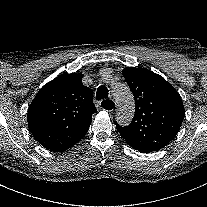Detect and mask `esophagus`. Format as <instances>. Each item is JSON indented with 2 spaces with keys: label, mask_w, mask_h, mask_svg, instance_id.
<instances>
[{
  "label": "esophagus",
  "mask_w": 207,
  "mask_h": 207,
  "mask_svg": "<svg viewBox=\"0 0 207 207\" xmlns=\"http://www.w3.org/2000/svg\"><path fill=\"white\" fill-rule=\"evenodd\" d=\"M100 106L108 113L114 112L117 108L116 103L108 98L103 99L100 103Z\"/></svg>",
  "instance_id": "obj_1"
}]
</instances>
